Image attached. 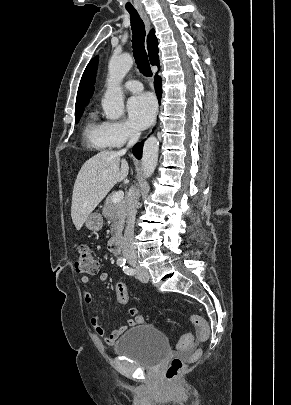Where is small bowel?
Here are the masks:
<instances>
[{"instance_id":"1","label":"small bowel","mask_w":291,"mask_h":405,"mask_svg":"<svg viewBox=\"0 0 291 405\" xmlns=\"http://www.w3.org/2000/svg\"><path fill=\"white\" fill-rule=\"evenodd\" d=\"M99 279L103 282L107 281L108 279V273L105 271H102L99 273ZM90 279L88 276H83L80 279L81 284L87 285L89 283ZM84 301L87 304H92L94 301V296L92 292L86 291L84 293ZM128 313L130 316H132V319L127 320V324L123 325L119 328L114 329L111 334L106 335V331L104 327L100 324V316L98 314H93L90 318L91 325L94 329V332L96 335L99 337H103L105 342L109 345L114 344L116 340L128 329V327L135 326L142 324L144 322L143 316L139 314L136 309L131 308L128 310Z\"/></svg>"}]
</instances>
